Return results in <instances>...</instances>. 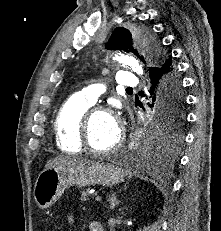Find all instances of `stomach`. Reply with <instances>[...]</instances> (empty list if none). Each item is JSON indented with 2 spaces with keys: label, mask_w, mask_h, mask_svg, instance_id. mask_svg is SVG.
I'll return each mask as SVG.
<instances>
[{
  "label": "stomach",
  "mask_w": 221,
  "mask_h": 231,
  "mask_svg": "<svg viewBox=\"0 0 221 231\" xmlns=\"http://www.w3.org/2000/svg\"><path fill=\"white\" fill-rule=\"evenodd\" d=\"M127 172L114 162H83L43 170L34 186V199L40 209L54 204L71 185L114 186L124 182Z\"/></svg>",
  "instance_id": "obj_1"
}]
</instances>
